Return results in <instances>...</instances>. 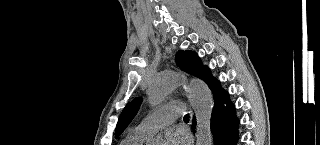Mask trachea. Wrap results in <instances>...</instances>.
<instances>
[{
  "instance_id": "trachea-1",
  "label": "trachea",
  "mask_w": 320,
  "mask_h": 145,
  "mask_svg": "<svg viewBox=\"0 0 320 145\" xmlns=\"http://www.w3.org/2000/svg\"><path fill=\"white\" fill-rule=\"evenodd\" d=\"M184 120H189V114H186V115L184 116Z\"/></svg>"
}]
</instances>
